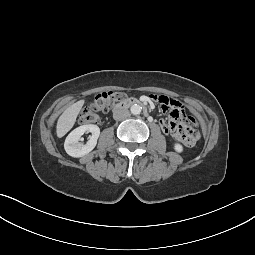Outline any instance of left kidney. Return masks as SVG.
Wrapping results in <instances>:
<instances>
[{
    "mask_svg": "<svg viewBox=\"0 0 255 255\" xmlns=\"http://www.w3.org/2000/svg\"><path fill=\"white\" fill-rule=\"evenodd\" d=\"M174 150L178 153H181V152H183V146L179 143H175L174 144Z\"/></svg>",
    "mask_w": 255,
    "mask_h": 255,
    "instance_id": "1",
    "label": "left kidney"
}]
</instances>
